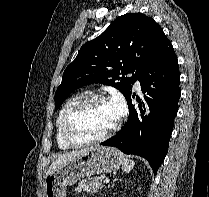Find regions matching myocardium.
<instances>
[{"instance_id":"f54148a6","label":"myocardium","mask_w":209,"mask_h":197,"mask_svg":"<svg viewBox=\"0 0 209 197\" xmlns=\"http://www.w3.org/2000/svg\"><path fill=\"white\" fill-rule=\"evenodd\" d=\"M107 98L101 94H90L83 97L78 103H76L66 114L63 122V138L67 144L72 147H82L102 142L109 138L119 127V122L116 120L113 126H111L105 133L98 137L90 139H77L72 134V125L75 117L87 106L96 102H106Z\"/></svg>"}]
</instances>
